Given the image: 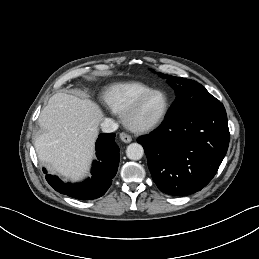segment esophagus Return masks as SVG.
Instances as JSON below:
<instances>
[{"label":"esophagus","mask_w":259,"mask_h":259,"mask_svg":"<svg viewBox=\"0 0 259 259\" xmlns=\"http://www.w3.org/2000/svg\"><path fill=\"white\" fill-rule=\"evenodd\" d=\"M119 137L124 143H130L132 141V137L124 132L120 133Z\"/></svg>","instance_id":"obj_1"}]
</instances>
